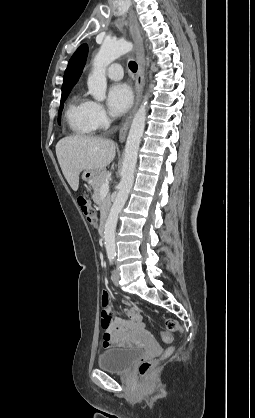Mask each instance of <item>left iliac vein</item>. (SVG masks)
<instances>
[{
  "instance_id": "obj_1",
  "label": "left iliac vein",
  "mask_w": 255,
  "mask_h": 418,
  "mask_svg": "<svg viewBox=\"0 0 255 418\" xmlns=\"http://www.w3.org/2000/svg\"><path fill=\"white\" fill-rule=\"evenodd\" d=\"M120 279V274L117 269H114L112 272V281L114 285H117Z\"/></svg>"
}]
</instances>
